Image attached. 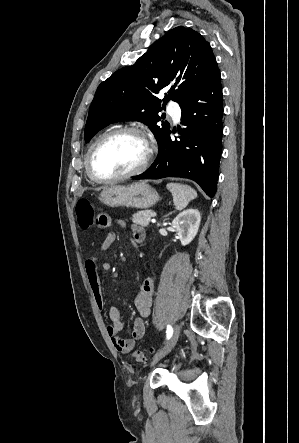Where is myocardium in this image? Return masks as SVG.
<instances>
[{
  "mask_svg": "<svg viewBox=\"0 0 299 443\" xmlns=\"http://www.w3.org/2000/svg\"><path fill=\"white\" fill-rule=\"evenodd\" d=\"M120 134H135V135L139 136L142 139V141L144 142L145 148H146L144 157L139 165H137L136 167H134L133 169H131L125 173H122V174H119L116 176H112V177H100L96 174V172L94 171V168H93L92 159H93L94 153H95L96 149L98 148V146L100 144H102L104 141H106L114 136L120 135ZM153 153H154V144H153L152 140L149 138V136L143 130H141L138 127H133V126L116 128V129H113L111 131H108V132L102 134L90 146V148L87 152V156H86V170H87L89 177L94 182L101 183V184H109V183L118 182V181L130 178V177H133L135 175H138V174L142 173L143 171H145L150 164V161L153 157Z\"/></svg>",
  "mask_w": 299,
  "mask_h": 443,
  "instance_id": "f54148a6",
  "label": "myocardium"
}]
</instances>
